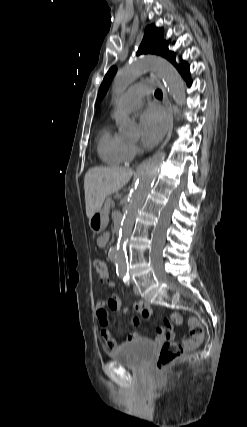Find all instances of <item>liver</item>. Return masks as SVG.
Here are the masks:
<instances>
[{"label": "liver", "instance_id": "liver-1", "mask_svg": "<svg viewBox=\"0 0 247 427\" xmlns=\"http://www.w3.org/2000/svg\"><path fill=\"white\" fill-rule=\"evenodd\" d=\"M132 169L93 167L84 177L86 215L90 219L101 210L105 198L120 190L131 179Z\"/></svg>", "mask_w": 247, "mask_h": 427}]
</instances>
